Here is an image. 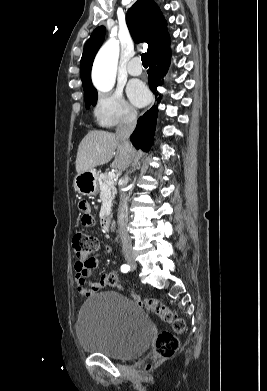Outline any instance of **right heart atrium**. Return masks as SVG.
<instances>
[{"label": "right heart atrium", "mask_w": 267, "mask_h": 391, "mask_svg": "<svg viewBox=\"0 0 267 391\" xmlns=\"http://www.w3.org/2000/svg\"><path fill=\"white\" fill-rule=\"evenodd\" d=\"M95 122L103 128L111 129L135 122L137 113L121 92L101 93L93 107Z\"/></svg>", "instance_id": "d8ad5b80"}]
</instances>
